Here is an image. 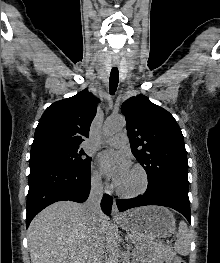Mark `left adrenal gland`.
<instances>
[{
  "label": "left adrenal gland",
  "instance_id": "obj_1",
  "mask_svg": "<svg viewBox=\"0 0 220 263\" xmlns=\"http://www.w3.org/2000/svg\"><path fill=\"white\" fill-rule=\"evenodd\" d=\"M130 248H131V242L128 241V247H127V249L129 250Z\"/></svg>",
  "mask_w": 220,
  "mask_h": 263
}]
</instances>
